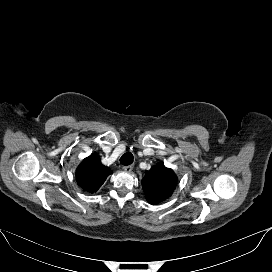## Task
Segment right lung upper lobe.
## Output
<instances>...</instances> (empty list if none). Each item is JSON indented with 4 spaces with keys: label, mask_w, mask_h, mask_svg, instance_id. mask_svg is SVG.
Wrapping results in <instances>:
<instances>
[{
    "label": "right lung upper lobe",
    "mask_w": 272,
    "mask_h": 272,
    "mask_svg": "<svg viewBox=\"0 0 272 272\" xmlns=\"http://www.w3.org/2000/svg\"><path fill=\"white\" fill-rule=\"evenodd\" d=\"M111 173L108 167L102 165L98 156L91 155L77 168L76 179L82 189L95 193Z\"/></svg>",
    "instance_id": "cb5924a9"
}]
</instances>
